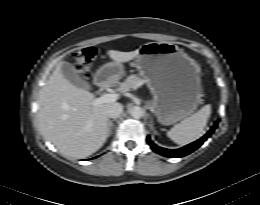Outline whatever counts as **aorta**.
I'll list each match as a JSON object with an SVG mask.
<instances>
[{
  "mask_svg": "<svg viewBox=\"0 0 260 205\" xmlns=\"http://www.w3.org/2000/svg\"><path fill=\"white\" fill-rule=\"evenodd\" d=\"M130 115L135 119H140L144 115V110L139 106H134L129 110Z\"/></svg>",
  "mask_w": 260,
  "mask_h": 205,
  "instance_id": "obj_1",
  "label": "aorta"
}]
</instances>
